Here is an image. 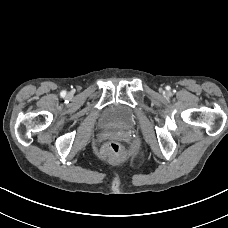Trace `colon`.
<instances>
[{
    "label": "colon",
    "instance_id": "1",
    "mask_svg": "<svg viewBox=\"0 0 228 228\" xmlns=\"http://www.w3.org/2000/svg\"><path fill=\"white\" fill-rule=\"evenodd\" d=\"M122 151L121 144L115 141H109L102 147V153L106 156H118Z\"/></svg>",
    "mask_w": 228,
    "mask_h": 228
}]
</instances>
